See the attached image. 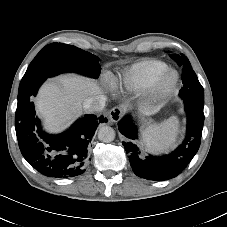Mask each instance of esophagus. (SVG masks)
Listing matches in <instances>:
<instances>
[{"label": "esophagus", "instance_id": "esophagus-1", "mask_svg": "<svg viewBox=\"0 0 227 227\" xmlns=\"http://www.w3.org/2000/svg\"><path fill=\"white\" fill-rule=\"evenodd\" d=\"M122 116V110L120 107H114L113 109L110 110L108 114V119L111 122H117L120 120Z\"/></svg>", "mask_w": 227, "mask_h": 227}]
</instances>
